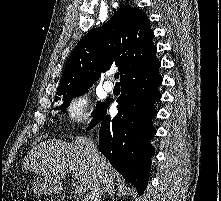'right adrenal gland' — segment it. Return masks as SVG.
<instances>
[{
	"label": "right adrenal gland",
	"instance_id": "2a0ac1e0",
	"mask_svg": "<svg viewBox=\"0 0 221 201\" xmlns=\"http://www.w3.org/2000/svg\"><path fill=\"white\" fill-rule=\"evenodd\" d=\"M104 193H108L110 196H113L115 194V187L114 186H104L102 188V190L100 191V194H99V200L98 201H102L101 198L103 196Z\"/></svg>",
	"mask_w": 221,
	"mask_h": 201
}]
</instances>
